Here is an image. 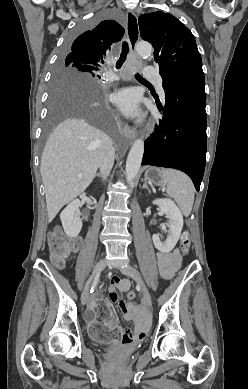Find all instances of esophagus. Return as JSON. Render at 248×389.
<instances>
[{
  "mask_svg": "<svg viewBox=\"0 0 248 389\" xmlns=\"http://www.w3.org/2000/svg\"><path fill=\"white\" fill-rule=\"evenodd\" d=\"M127 22H126V35H127V40L129 43L130 51L132 54V59L133 62L136 65H140L141 63V58L136 52V45L139 41L140 38V31H139V26H138V19L136 15L128 10L127 14ZM124 134L125 136L130 140L133 141L136 138V130L128 126L127 124L124 125Z\"/></svg>",
  "mask_w": 248,
  "mask_h": 389,
  "instance_id": "34e87169",
  "label": "esophagus"
}]
</instances>
